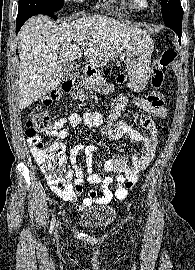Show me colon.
<instances>
[{"label": "colon", "instance_id": "colon-1", "mask_svg": "<svg viewBox=\"0 0 195 270\" xmlns=\"http://www.w3.org/2000/svg\"><path fill=\"white\" fill-rule=\"evenodd\" d=\"M177 53L173 48H167L161 52L158 58L153 62L151 73V85L158 90L164 83V70L170 66L176 59ZM63 93H69L79 100H87L90 97V91L83 78L75 79L65 83L61 89L51 92L43 100V105L49 106L59 100ZM142 105L143 109L150 110L164 105V96L158 91L147 94ZM26 137L32 154L46 175L47 181L53 191L57 194H67L72 190L71 176L66 169V160L64 156L65 148L61 142L46 141L39 133L45 132L49 136L54 135V122L50 120L44 111H32L25 123ZM136 180H127L124 188L130 189Z\"/></svg>", "mask_w": 195, "mask_h": 270}]
</instances>
